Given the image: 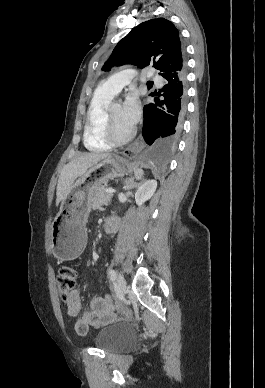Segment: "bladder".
Here are the masks:
<instances>
[{
    "label": "bladder",
    "instance_id": "1",
    "mask_svg": "<svg viewBox=\"0 0 265 388\" xmlns=\"http://www.w3.org/2000/svg\"><path fill=\"white\" fill-rule=\"evenodd\" d=\"M133 336L132 327L129 324H109L98 334L94 343L98 348L113 351L129 347L130 339Z\"/></svg>",
    "mask_w": 265,
    "mask_h": 388
}]
</instances>
